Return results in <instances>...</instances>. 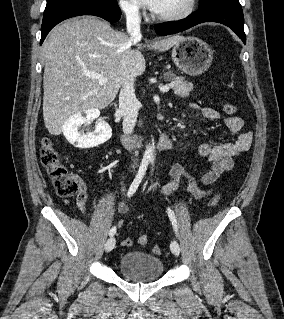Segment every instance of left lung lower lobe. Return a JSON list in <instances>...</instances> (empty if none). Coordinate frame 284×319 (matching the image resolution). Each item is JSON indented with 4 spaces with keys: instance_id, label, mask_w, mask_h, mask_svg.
Here are the masks:
<instances>
[{
    "instance_id": "left-lung-lower-lobe-1",
    "label": "left lung lower lobe",
    "mask_w": 284,
    "mask_h": 319,
    "mask_svg": "<svg viewBox=\"0 0 284 319\" xmlns=\"http://www.w3.org/2000/svg\"><path fill=\"white\" fill-rule=\"evenodd\" d=\"M203 22L222 23L231 28L244 44L246 43V36L243 28L244 17L239 1H223L205 8H199L198 11L193 12L183 20L157 24L155 26V31L161 36L170 35L184 31Z\"/></svg>"
}]
</instances>
